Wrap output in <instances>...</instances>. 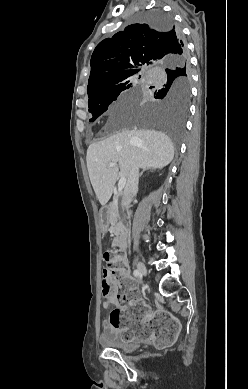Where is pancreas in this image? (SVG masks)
Returning <instances> with one entry per match:
<instances>
[{"label": "pancreas", "mask_w": 248, "mask_h": 389, "mask_svg": "<svg viewBox=\"0 0 248 389\" xmlns=\"http://www.w3.org/2000/svg\"><path fill=\"white\" fill-rule=\"evenodd\" d=\"M109 215H108V221L111 224L110 230L116 235L118 238L124 231V225L121 221L119 209L117 206V202L114 201L109 204Z\"/></svg>", "instance_id": "obj_1"}]
</instances>
